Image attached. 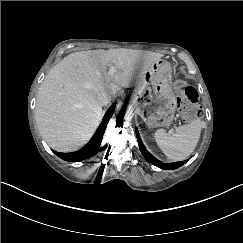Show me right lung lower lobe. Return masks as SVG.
<instances>
[{"label": "right lung lower lobe", "instance_id": "obj_1", "mask_svg": "<svg viewBox=\"0 0 243 243\" xmlns=\"http://www.w3.org/2000/svg\"><path fill=\"white\" fill-rule=\"evenodd\" d=\"M114 109H115V105H112L107 110L102 120V123L100 124L94 136L91 138V140L88 142L86 146H84L82 149L76 152H71V153H60L55 151L57 156L69 162H79L88 159L89 157L94 155L101 144L107 123L109 119L112 117Z\"/></svg>", "mask_w": 243, "mask_h": 243}]
</instances>
